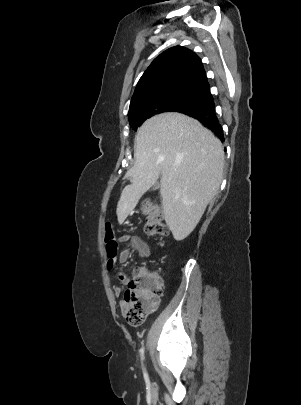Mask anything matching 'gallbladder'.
I'll use <instances>...</instances> for the list:
<instances>
[{
  "label": "gallbladder",
  "mask_w": 301,
  "mask_h": 405,
  "mask_svg": "<svg viewBox=\"0 0 301 405\" xmlns=\"http://www.w3.org/2000/svg\"><path fill=\"white\" fill-rule=\"evenodd\" d=\"M160 187V184H159V182H157L154 186H153V189H158Z\"/></svg>",
  "instance_id": "bac80fb5"
}]
</instances>
